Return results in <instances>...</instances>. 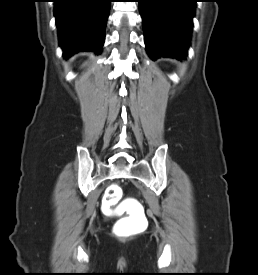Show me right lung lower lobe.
<instances>
[{
  "label": "right lung lower lobe",
  "mask_w": 258,
  "mask_h": 275,
  "mask_svg": "<svg viewBox=\"0 0 258 275\" xmlns=\"http://www.w3.org/2000/svg\"><path fill=\"white\" fill-rule=\"evenodd\" d=\"M111 0H54L59 45L64 57L78 51L100 54Z\"/></svg>",
  "instance_id": "98d812e1"
}]
</instances>
